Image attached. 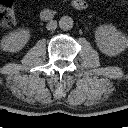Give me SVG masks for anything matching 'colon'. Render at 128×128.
Returning a JSON list of instances; mask_svg holds the SVG:
<instances>
[{"mask_svg":"<svg viewBox=\"0 0 128 128\" xmlns=\"http://www.w3.org/2000/svg\"><path fill=\"white\" fill-rule=\"evenodd\" d=\"M15 21L16 13L13 0H0V25L11 27Z\"/></svg>","mask_w":128,"mask_h":128,"instance_id":"obj_1","label":"colon"}]
</instances>
